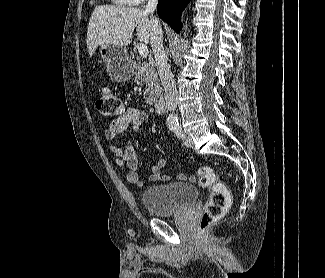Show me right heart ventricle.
Wrapping results in <instances>:
<instances>
[{
  "instance_id": "1",
  "label": "right heart ventricle",
  "mask_w": 325,
  "mask_h": 278,
  "mask_svg": "<svg viewBox=\"0 0 325 278\" xmlns=\"http://www.w3.org/2000/svg\"><path fill=\"white\" fill-rule=\"evenodd\" d=\"M119 4H122V5H131V1L130 0H113Z\"/></svg>"
}]
</instances>
